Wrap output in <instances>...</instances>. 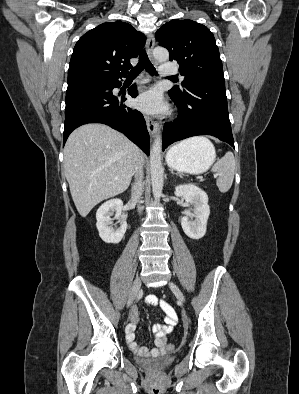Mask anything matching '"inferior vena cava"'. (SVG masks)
Returning a JSON list of instances; mask_svg holds the SVG:
<instances>
[{
    "label": "inferior vena cava",
    "mask_w": 299,
    "mask_h": 394,
    "mask_svg": "<svg viewBox=\"0 0 299 394\" xmlns=\"http://www.w3.org/2000/svg\"><path fill=\"white\" fill-rule=\"evenodd\" d=\"M135 183L133 184L132 187V199L134 201H139L141 198V195L143 193V184H142V179H143V159H139L136 166H135ZM141 207L139 208V211H141Z\"/></svg>",
    "instance_id": "inferior-vena-cava-1"
}]
</instances>
